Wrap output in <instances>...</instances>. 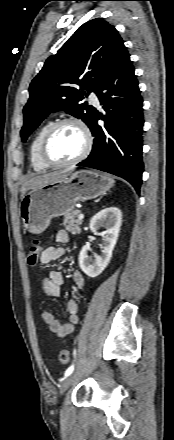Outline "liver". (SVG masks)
Instances as JSON below:
<instances>
[{
  "label": "liver",
  "instance_id": "liver-1",
  "mask_svg": "<svg viewBox=\"0 0 174 440\" xmlns=\"http://www.w3.org/2000/svg\"><path fill=\"white\" fill-rule=\"evenodd\" d=\"M65 174V172H52V173H47V174H43V175H39L36 177H33L31 179H29L28 181H26L21 189V194H22V198L25 196L26 192L30 189H34L36 187L45 185L47 183L56 181L60 178H62Z\"/></svg>",
  "mask_w": 174,
  "mask_h": 440
}]
</instances>
